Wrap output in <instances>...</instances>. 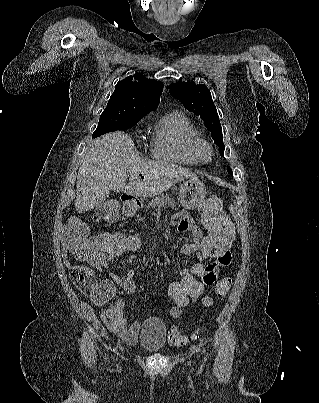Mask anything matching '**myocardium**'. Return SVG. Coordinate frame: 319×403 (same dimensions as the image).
I'll return each instance as SVG.
<instances>
[{
    "mask_svg": "<svg viewBox=\"0 0 319 403\" xmlns=\"http://www.w3.org/2000/svg\"><path fill=\"white\" fill-rule=\"evenodd\" d=\"M193 151L200 162H208L213 156L212 145L201 137L194 140Z\"/></svg>",
    "mask_w": 319,
    "mask_h": 403,
    "instance_id": "1",
    "label": "myocardium"
}]
</instances>
